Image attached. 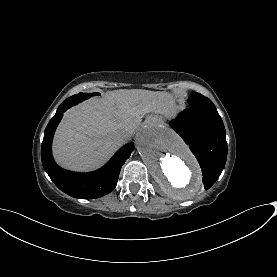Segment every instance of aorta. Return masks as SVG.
Wrapping results in <instances>:
<instances>
[{
	"label": "aorta",
	"instance_id": "aorta-1",
	"mask_svg": "<svg viewBox=\"0 0 277 277\" xmlns=\"http://www.w3.org/2000/svg\"><path fill=\"white\" fill-rule=\"evenodd\" d=\"M137 150L163 191L177 200L202 188L200 167L183 140L170 129L149 125L135 138Z\"/></svg>",
	"mask_w": 277,
	"mask_h": 277
}]
</instances>
